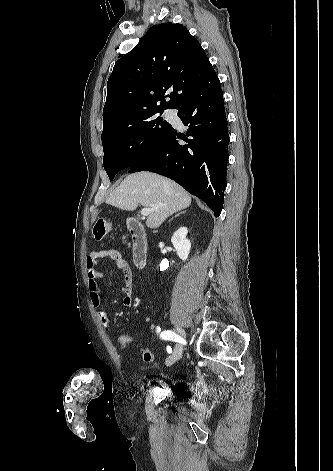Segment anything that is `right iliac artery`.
<instances>
[{"instance_id":"obj_1","label":"right iliac artery","mask_w":333,"mask_h":471,"mask_svg":"<svg viewBox=\"0 0 333 471\" xmlns=\"http://www.w3.org/2000/svg\"><path fill=\"white\" fill-rule=\"evenodd\" d=\"M160 337L164 340H171V341L179 342L182 344H186L185 340L181 336L177 335L175 332L171 330L163 331Z\"/></svg>"}]
</instances>
